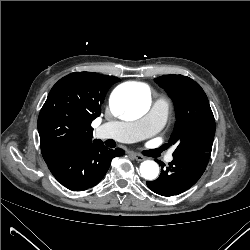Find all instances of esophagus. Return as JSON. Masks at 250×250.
<instances>
[{"label":"esophagus","mask_w":250,"mask_h":250,"mask_svg":"<svg viewBox=\"0 0 250 250\" xmlns=\"http://www.w3.org/2000/svg\"><path fill=\"white\" fill-rule=\"evenodd\" d=\"M132 157L136 160V161H143L145 158L137 153H131Z\"/></svg>","instance_id":"34e87169"}]
</instances>
